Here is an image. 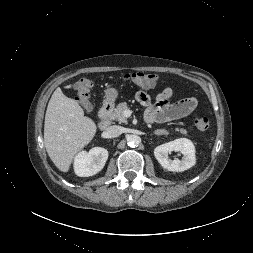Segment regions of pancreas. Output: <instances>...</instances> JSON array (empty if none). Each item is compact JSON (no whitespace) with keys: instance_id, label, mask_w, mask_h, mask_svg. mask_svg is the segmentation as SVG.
<instances>
[{"instance_id":"1","label":"pancreas","mask_w":253,"mask_h":253,"mask_svg":"<svg viewBox=\"0 0 253 253\" xmlns=\"http://www.w3.org/2000/svg\"><path fill=\"white\" fill-rule=\"evenodd\" d=\"M128 105L126 102L119 103L114 109V112L111 115L113 120L118 121L119 123H127V118L124 116V112L128 110ZM165 131V130H164ZM176 131L180 132L183 135H187L186 129L176 128ZM166 132V131H165ZM167 133V132H166Z\"/></svg>"}]
</instances>
